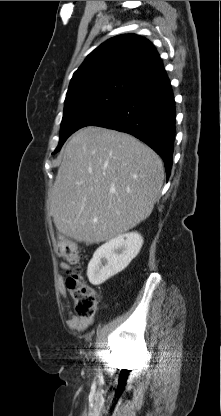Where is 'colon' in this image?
Listing matches in <instances>:
<instances>
[{"instance_id":"colon-1","label":"colon","mask_w":221,"mask_h":416,"mask_svg":"<svg viewBox=\"0 0 221 416\" xmlns=\"http://www.w3.org/2000/svg\"><path fill=\"white\" fill-rule=\"evenodd\" d=\"M56 251L66 263L75 266V270L66 281L67 289L73 299L75 315L80 318L92 317L97 308V294L82 279L79 247L71 239L61 236L57 242Z\"/></svg>"}]
</instances>
